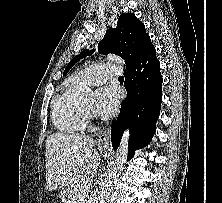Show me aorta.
<instances>
[{
  "instance_id": "aorta-1",
  "label": "aorta",
  "mask_w": 222,
  "mask_h": 203,
  "mask_svg": "<svg viewBox=\"0 0 222 203\" xmlns=\"http://www.w3.org/2000/svg\"><path fill=\"white\" fill-rule=\"evenodd\" d=\"M107 59L111 62L124 65L125 62L119 56L109 54ZM85 94H91V89L89 87L84 88ZM128 142H129V130L126 129L123 133L120 145L117 149L116 156L114 161L112 162L111 168L108 171V174L102 183L100 188V192L97 198V203H107L110 192L113 189V186L117 180V177L125 163L127 150H128Z\"/></svg>"
}]
</instances>
